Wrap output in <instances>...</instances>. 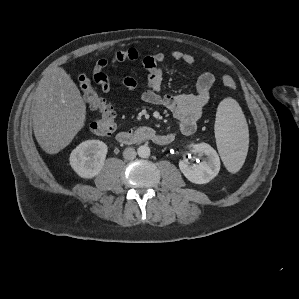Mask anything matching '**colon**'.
<instances>
[{
    "instance_id": "5ec220e1",
    "label": "colon",
    "mask_w": 299,
    "mask_h": 299,
    "mask_svg": "<svg viewBox=\"0 0 299 299\" xmlns=\"http://www.w3.org/2000/svg\"><path fill=\"white\" fill-rule=\"evenodd\" d=\"M78 80L83 99L98 115L91 124V131L99 136L112 134L116 128L114 108L94 90L91 80L86 74H81ZM222 82L230 90L237 88L234 79L227 74L222 76Z\"/></svg>"
}]
</instances>
